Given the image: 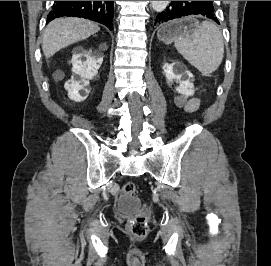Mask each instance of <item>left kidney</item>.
I'll return each mask as SVG.
<instances>
[{
	"label": "left kidney",
	"instance_id": "left-kidney-1",
	"mask_svg": "<svg viewBox=\"0 0 271 266\" xmlns=\"http://www.w3.org/2000/svg\"><path fill=\"white\" fill-rule=\"evenodd\" d=\"M163 70L168 82H173V80L179 82V86L176 88L178 93L185 97L192 95L193 85L190 82L192 74L189 71L185 70L182 65L175 62L172 64L166 63L163 66Z\"/></svg>",
	"mask_w": 271,
	"mask_h": 266
}]
</instances>
